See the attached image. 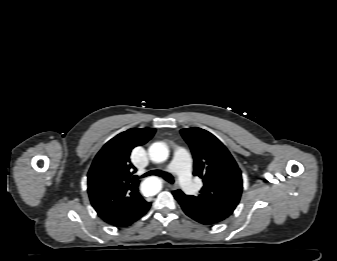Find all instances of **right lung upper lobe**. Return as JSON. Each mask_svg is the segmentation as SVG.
<instances>
[{
    "instance_id": "cb5924a9",
    "label": "right lung upper lobe",
    "mask_w": 337,
    "mask_h": 261,
    "mask_svg": "<svg viewBox=\"0 0 337 261\" xmlns=\"http://www.w3.org/2000/svg\"><path fill=\"white\" fill-rule=\"evenodd\" d=\"M154 128H132L109 140L98 152L88 172V194L97 214L116 225L138 216L146 201L138 192L139 181L132 178L136 168L131 150L149 141Z\"/></svg>"
}]
</instances>
